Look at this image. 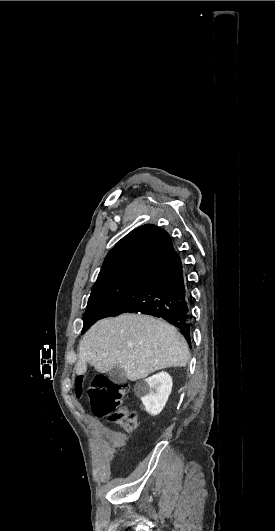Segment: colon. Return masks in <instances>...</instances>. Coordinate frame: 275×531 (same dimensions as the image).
Here are the masks:
<instances>
[{
    "label": "colon",
    "mask_w": 275,
    "mask_h": 531,
    "mask_svg": "<svg viewBox=\"0 0 275 531\" xmlns=\"http://www.w3.org/2000/svg\"><path fill=\"white\" fill-rule=\"evenodd\" d=\"M68 389L75 399H80L87 391L90 399V410L97 417H106L109 422L118 424L123 431H133L137 412L121 406V400L130 392L129 385L124 382L106 378L98 374L88 386V377L80 375L76 381L68 384Z\"/></svg>",
    "instance_id": "5ec220e1"
}]
</instances>
